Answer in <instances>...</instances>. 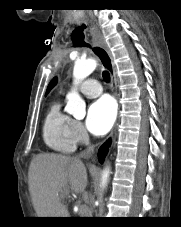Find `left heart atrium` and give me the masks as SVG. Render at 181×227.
Listing matches in <instances>:
<instances>
[{
    "instance_id": "39dd6f15",
    "label": "left heart atrium",
    "mask_w": 181,
    "mask_h": 227,
    "mask_svg": "<svg viewBox=\"0 0 181 227\" xmlns=\"http://www.w3.org/2000/svg\"><path fill=\"white\" fill-rule=\"evenodd\" d=\"M115 118L116 107L113 100L102 97L89 106L86 125L93 134L104 135L111 129Z\"/></svg>"
}]
</instances>
